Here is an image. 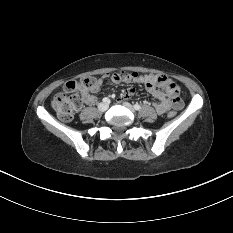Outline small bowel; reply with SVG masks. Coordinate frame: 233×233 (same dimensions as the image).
Instances as JSON below:
<instances>
[{"label": "small bowel", "instance_id": "1", "mask_svg": "<svg viewBox=\"0 0 233 233\" xmlns=\"http://www.w3.org/2000/svg\"><path fill=\"white\" fill-rule=\"evenodd\" d=\"M107 77L111 82L117 84L121 82H136L145 85L146 90L152 94L157 102L154 103V107L158 114H166L171 109H181L183 102L178 97L179 87L168 77L164 75L145 74L136 75L135 77L126 76L122 73H110L96 80V84L93 87V92H98L102 88L103 80ZM135 94V89L128 88L124 91L123 97L130 98ZM96 98L91 93L84 94V102L86 104H93Z\"/></svg>", "mask_w": 233, "mask_h": 233}]
</instances>
